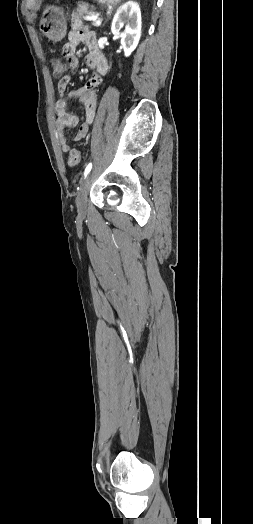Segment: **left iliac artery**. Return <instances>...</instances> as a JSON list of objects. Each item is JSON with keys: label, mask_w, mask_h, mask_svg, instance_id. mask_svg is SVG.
Masks as SVG:
<instances>
[{"label": "left iliac artery", "mask_w": 253, "mask_h": 524, "mask_svg": "<svg viewBox=\"0 0 253 524\" xmlns=\"http://www.w3.org/2000/svg\"><path fill=\"white\" fill-rule=\"evenodd\" d=\"M92 169V163H89L84 171V177H86L88 175V173L91 171Z\"/></svg>", "instance_id": "44dca946"}]
</instances>
